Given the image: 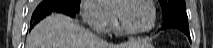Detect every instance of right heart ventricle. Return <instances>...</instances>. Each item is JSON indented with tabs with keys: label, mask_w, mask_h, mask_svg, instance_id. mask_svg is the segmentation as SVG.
<instances>
[{
	"label": "right heart ventricle",
	"mask_w": 213,
	"mask_h": 48,
	"mask_svg": "<svg viewBox=\"0 0 213 48\" xmlns=\"http://www.w3.org/2000/svg\"><path fill=\"white\" fill-rule=\"evenodd\" d=\"M111 29H113V31L116 33V34H120L122 33L121 30L119 29L118 25L116 23H114L111 27Z\"/></svg>",
	"instance_id": "1"
}]
</instances>
